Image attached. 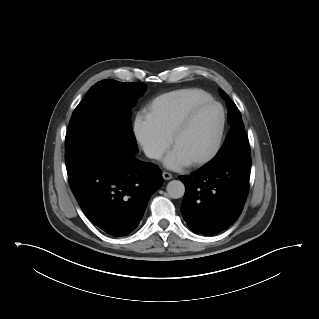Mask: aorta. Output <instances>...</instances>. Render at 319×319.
Instances as JSON below:
<instances>
[{"label":"aorta","mask_w":319,"mask_h":319,"mask_svg":"<svg viewBox=\"0 0 319 319\" xmlns=\"http://www.w3.org/2000/svg\"><path fill=\"white\" fill-rule=\"evenodd\" d=\"M166 191L169 197L178 199L184 196L185 186L179 180H172L167 184Z\"/></svg>","instance_id":"obj_1"}]
</instances>
